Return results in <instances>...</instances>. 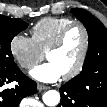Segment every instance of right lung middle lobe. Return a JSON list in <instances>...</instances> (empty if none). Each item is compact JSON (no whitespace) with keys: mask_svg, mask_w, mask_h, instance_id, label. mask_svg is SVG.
I'll list each match as a JSON object with an SVG mask.
<instances>
[{"mask_svg":"<svg viewBox=\"0 0 107 107\" xmlns=\"http://www.w3.org/2000/svg\"><path fill=\"white\" fill-rule=\"evenodd\" d=\"M28 24L20 19L0 15V72L16 68L10 43L14 36L25 30Z\"/></svg>","mask_w":107,"mask_h":107,"instance_id":"1","label":"right lung middle lobe"}]
</instances>
